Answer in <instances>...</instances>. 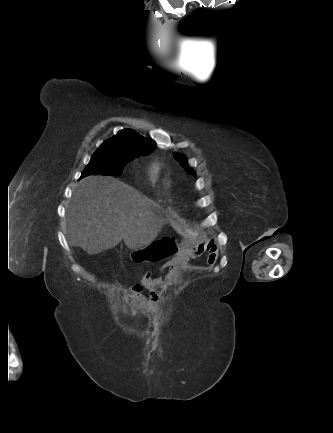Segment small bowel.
Instances as JSON below:
<instances>
[{"label":"small bowel","instance_id":"c3829d8e","mask_svg":"<svg viewBox=\"0 0 333 433\" xmlns=\"http://www.w3.org/2000/svg\"><path fill=\"white\" fill-rule=\"evenodd\" d=\"M175 253L177 258L173 265L175 273L184 269L192 260L198 257L204 256L208 266H213L218 259L217 246L211 243L182 246L180 249L177 248ZM168 286V283L158 280L154 272L148 271L142 276L140 282L134 284L128 291V298L137 308H141L142 311H149L151 305H159L162 302V293ZM144 291L150 297L151 303L149 305L141 303L140 296Z\"/></svg>","mask_w":333,"mask_h":433}]
</instances>
